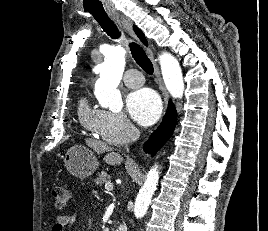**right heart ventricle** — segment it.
<instances>
[{
	"mask_svg": "<svg viewBox=\"0 0 268 231\" xmlns=\"http://www.w3.org/2000/svg\"><path fill=\"white\" fill-rule=\"evenodd\" d=\"M101 112V109L92 107L86 97L80 99L78 103V119L86 129L97 133L96 129Z\"/></svg>",
	"mask_w": 268,
	"mask_h": 231,
	"instance_id": "obj_1",
	"label": "right heart ventricle"
}]
</instances>
